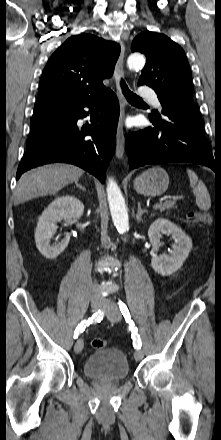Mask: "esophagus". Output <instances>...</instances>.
Listing matches in <instances>:
<instances>
[{"label": "esophagus", "mask_w": 221, "mask_h": 440, "mask_svg": "<svg viewBox=\"0 0 221 440\" xmlns=\"http://www.w3.org/2000/svg\"><path fill=\"white\" fill-rule=\"evenodd\" d=\"M120 47H121L120 56L115 66L116 93L121 102V114L118 122L117 134H116V157L118 159H121L124 153V144H125L124 118H125V107H126V102L124 100V96L122 94V90L120 87V79L124 76L123 64L125 58V46L123 42H120Z\"/></svg>", "instance_id": "34e87169"}]
</instances>
